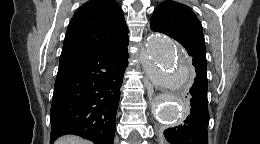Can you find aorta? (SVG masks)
<instances>
[{
  "mask_svg": "<svg viewBox=\"0 0 260 144\" xmlns=\"http://www.w3.org/2000/svg\"><path fill=\"white\" fill-rule=\"evenodd\" d=\"M143 54V67L149 80L173 91L153 99L156 118L171 124L181 121L186 113L183 90L191 72L188 55L173 40L160 33H153L147 38Z\"/></svg>",
  "mask_w": 260,
  "mask_h": 144,
  "instance_id": "762f6f07",
  "label": "aorta"
}]
</instances>
